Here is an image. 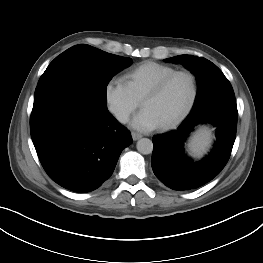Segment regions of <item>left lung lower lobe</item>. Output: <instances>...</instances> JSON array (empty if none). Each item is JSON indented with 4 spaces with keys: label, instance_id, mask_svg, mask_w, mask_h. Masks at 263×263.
<instances>
[{
    "label": "left lung lower lobe",
    "instance_id": "obj_1",
    "mask_svg": "<svg viewBox=\"0 0 263 263\" xmlns=\"http://www.w3.org/2000/svg\"><path fill=\"white\" fill-rule=\"evenodd\" d=\"M238 111L235 97H220L191 111L175 130L153 137L152 169L167 187L183 191L198 188L216 177L226 165L236 136ZM201 124L216 128L211 152L199 161L188 157L184 144Z\"/></svg>",
    "mask_w": 263,
    "mask_h": 263
}]
</instances>
